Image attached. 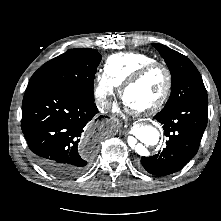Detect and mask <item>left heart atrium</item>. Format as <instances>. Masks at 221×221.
I'll use <instances>...</instances> for the list:
<instances>
[{
	"label": "left heart atrium",
	"instance_id": "left-heart-atrium-1",
	"mask_svg": "<svg viewBox=\"0 0 221 221\" xmlns=\"http://www.w3.org/2000/svg\"><path fill=\"white\" fill-rule=\"evenodd\" d=\"M126 106L130 107L126 102L124 103Z\"/></svg>",
	"mask_w": 221,
	"mask_h": 221
}]
</instances>
